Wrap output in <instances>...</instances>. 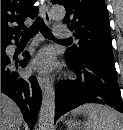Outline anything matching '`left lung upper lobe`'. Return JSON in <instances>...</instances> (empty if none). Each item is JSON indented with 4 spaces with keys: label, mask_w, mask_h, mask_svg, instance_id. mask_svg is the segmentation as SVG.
Segmentation results:
<instances>
[{
    "label": "left lung upper lobe",
    "mask_w": 123,
    "mask_h": 130,
    "mask_svg": "<svg viewBox=\"0 0 123 130\" xmlns=\"http://www.w3.org/2000/svg\"><path fill=\"white\" fill-rule=\"evenodd\" d=\"M64 5V21L74 30L77 46L65 55L76 60H95L114 66L109 16L104 0H51Z\"/></svg>",
    "instance_id": "1"
}]
</instances>
